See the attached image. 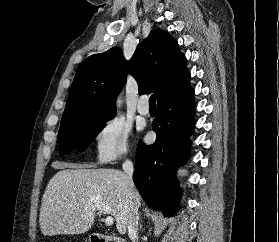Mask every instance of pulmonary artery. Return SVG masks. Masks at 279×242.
<instances>
[{
    "label": "pulmonary artery",
    "mask_w": 279,
    "mask_h": 242,
    "mask_svg": "<svg viewBox=\"0 0 279 242\" xmlns=\"http://www.w3.org/2000/svg\"><path fill=\"white\" fill-rule=\"evenodd\" d=\"M137 110L141 115H147L149 113V106L146 104V98L141 97L137 104Z\"/></svg>",
    "instance_id": "1"
}]
</instances>
